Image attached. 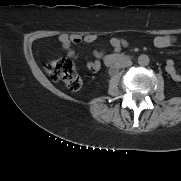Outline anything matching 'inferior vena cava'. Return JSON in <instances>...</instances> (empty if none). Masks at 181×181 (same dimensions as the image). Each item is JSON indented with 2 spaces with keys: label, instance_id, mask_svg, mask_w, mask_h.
Listing matches in <instances>:
<instances>
[{
  "label": "inferior vena cava",
  "instance_id": "obj_1",
  "mask_svg": "<svg viewBox=\"0 0 181 181\" xmlns=\"http://www.w3.org/2000/svg\"><path fill=\"white\" fill-rule=\"evenodd\" d=\"M132 65L131 60H126L122 64L119 65V67L124 68V67H130Z\"/></svg>",
  "mask_w": 181,
  "mask_h": 181
}]
</instances>
